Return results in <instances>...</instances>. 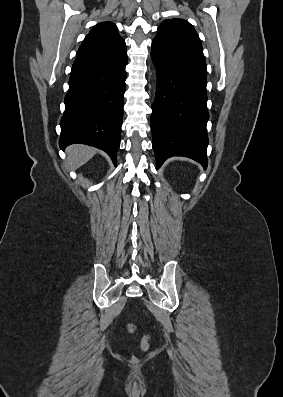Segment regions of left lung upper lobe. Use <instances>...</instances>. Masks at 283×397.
Masks as SVG:
<instances>
[{"mask_svg":"<svg viewBox=\"0 0 283 397\" xmlns=\"http://www.w3.org/2000/svg\"><path fill=\"white\" fill-rule=\"evenodd\" d=\"M152 44L207 76L202 44L193 26L183 19L165 20L158 27Z\"/></svg>","mask_w":283,"mask_h":397,"instance_id":"obj_1","label":"left lung upper lobe"}]
</instances>
